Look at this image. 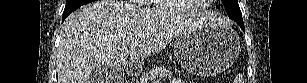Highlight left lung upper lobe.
<instances>
[{
    "instance_id": "obj_1",
    "label": "left lung upper lobe",
    "mask_w": 307,
    "mask_h": 83,
    "mask_svg": "<svg viewBox=\"0 0 307 83\" xmlns=\"http://www.w3.org/2000/svg\"><path fill=\"white\" fill-rule=\"evenodd\" d=\"M229 18L233 19L237 24L242 23V14L237 0H222Z\"/></svg>"
}]
</instances>
